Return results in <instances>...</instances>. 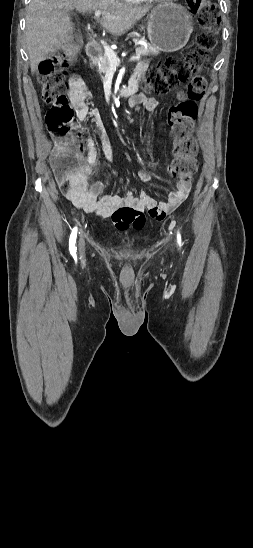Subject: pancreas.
<instances>
[{
  "label": "pancreas",
  "mask_w": 253,
  "mask_h": 548,
  "mask_svg": "<svg viewBox=\"0 0 253 548\" xmlns=\"http://www.w3.org/2000/svg\"><path fill=\"white\" fill-rule=\"evenodd\" d=\"M158 54H159V49L152 45H148L147 48H145L144 46H140L136 48V55L156 56ZM91 65L97 66L99 73L105 74L110 67V61L108 59V56L104 53L97 60L92 61Z\"/></svg>",
  "instance_id": "1"
}]
</instances>
